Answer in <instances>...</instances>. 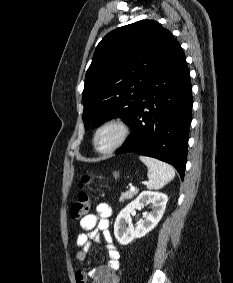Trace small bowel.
Segmentation results:
<instances>
[{"label":"small bowel","mask_w":233,"mask_h":283,"mask_svg":"<svg viewBox=\"0 0 233 283\" xmlns=\"http://www.w3.org/2000/svg\"><path fill=\"white\" fill-rule=\"evenodd\" d=\"M111 215V207L107 203H100L94 213L88 214L80 221L83 232L78 235L76 241L77 260L82 262L86 259L92 242L100 243V234H102L108 253V262L106 265L94 268L88 273L77 271L75 274L76 283H86L87 277L91 279L92 283H120L117 274L120 266V253L113 243L112 234L109 230Z\"/></svg>","instance_id":"c3829d8e"}]
</instances>
